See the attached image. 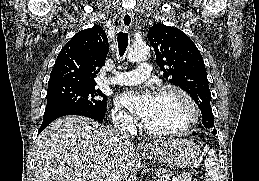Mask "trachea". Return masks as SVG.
<instances>
[{
  "label": "trachea",
  "instance_id": "3493384b",
  "mask_svg": "<svg viewBox=\"0 0 259 181\" xmlns=\"http://www.w3.org/2000/svg\"><path fill=\"white\" fill-rule=\"evenodd\" d=\"M118 48H119V56L122 57L125 54V51L128 46V33L120 31L118 34Z\"/></svg>",
  "mask_w": 259,
  "mask_h": 181
}]
</instances>
